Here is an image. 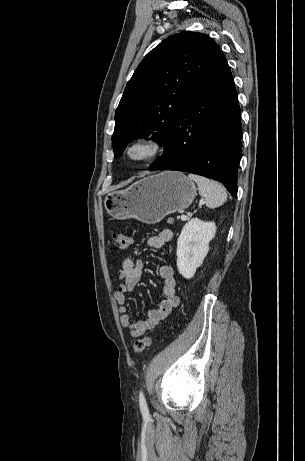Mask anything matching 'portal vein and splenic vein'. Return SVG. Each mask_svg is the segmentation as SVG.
Segmentation results:
<instances>
[{"mask_svg": "<svg viewBox=\"0 0 305 461\" xmlns=\"http://www.w3.org/2000/svg\"><path fill=\"white\" fill-rule=\"evenodd\" d=\"M202 204H204V201H201V202H200V205H202ZM180 219H181L182 221H186V220L188 219V216L182 214V215L180 216Z\"/></svg>", "mask_w": 305, "mask_h": 461, "instance_id": "18ae733b", "label": "portal vein and splenic vein"}]
</instances>
